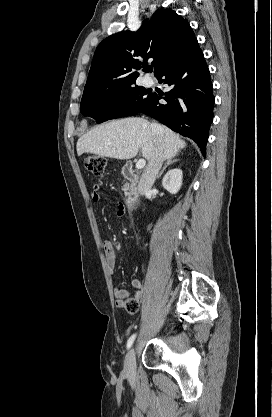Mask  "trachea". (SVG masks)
<instances>
[{
    "instance_id": "3493384b",
    "label": "trachea",
    "mask_w": 272,
    "mask_h": 417,
    "mask_svg": "<svg viewBox=\"0 0 272 417\" xmlns=\"http://www.w3.org/2000/svg\"><path fill=\"white\" fill-rule=\"evenodd\" d=\"M146 71H148V72H152L153 71V67H148V68H146Z\"/></svg>"
}]
</instances>
